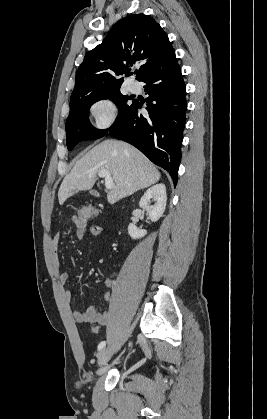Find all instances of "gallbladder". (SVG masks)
<instances>
[{"label":"gallbladder","mask_w":267,"mask_h":419,"mask_svg":"<svg viewBox=\"0 0 267 419\" xmlns=\"http://www.w3.org/2000/svg\"><path fill=\"white\" fill-rule=\"evenodd\" d=\"M91 194L98 196L99 194L96 191H91Z\"/></svg>","instance_id":"1"}]
</instances>
